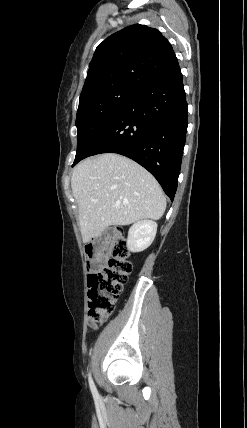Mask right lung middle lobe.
I'll return each instance as SVG.
<instances>
[{"instance_id": "right-lung-middle-lobe-1", "label": "right lung middle lobe", "mask_w": 247, "mask_h": 428, "mask_svg": "<svg viewBox=\"0 0 247 428\" xmlns=\"http://www.w3.org/2000/svg\"><path fill=\"white\" fill-rule=\"evenodd\" d=\"M140 90L113 86L81 95L76 117L79 158L103 128L131 101Z\"/></svg>"}]
</instances>
